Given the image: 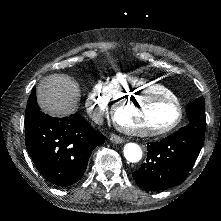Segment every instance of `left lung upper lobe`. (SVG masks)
<instances>
[{"label": "left lung upper lobe", "mask_w": 221, "mask_h": 221, "mask_svg": "<svg viewBox=\"0 0 221 221\" xmlns=\"http://www.w3.org/2000/svg\"><path fill=\"white\" fill-rule=\"evenodd\" d=\"M205 99L200 97L193 101L187 108V114L193 126L205 130L206 116H205Z\"/></svg>", "instance_id": "1"}]
</instances>
